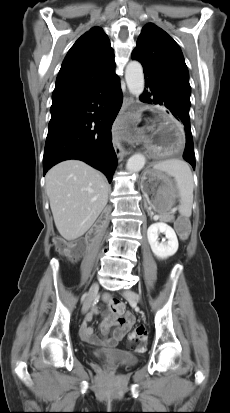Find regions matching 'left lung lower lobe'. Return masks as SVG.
<instances>
[{"instance_id":"obj_1","label":"left lung lower lobe","mask_w":230,"mask_h":413,"mask_svg":"<svg viewBox=\"0 0 230 413\" xmlns=\"http://www.w3.org/2000/svg\"><path fill=\"white\" fill-rule=\"evenodd\" d=\"M144 77L148 91H144L140 100L149 104L162 105L167 108V113L172 114L182 124L186 136L183 158L195 169V154L189 118L190 103L169 89L161 77L153 71L144 68Z\"/></svg>"}]
</instances>
